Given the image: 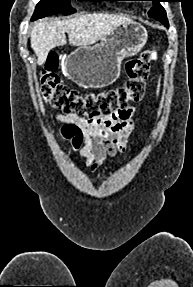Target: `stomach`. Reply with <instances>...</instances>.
Wrapping results in <instances>:
<instances>
[{"label": "stomach", "mask_w": 193, "mask_h": 287, "mask_svg": "<svg viewBox=\"0 0 193 287\" xmlns=\"http://www.w3.org/2000/svg\"><path fill=\"white\" fill-rule=\"evenodd\" d=\"M148 39L144 26L131 21L116 27L95 47L80 46L66 59L65 74L85 88H103L119 77L121 62L140 52Z\"/></svg>", "instance_id": "1"}]
</instances>
